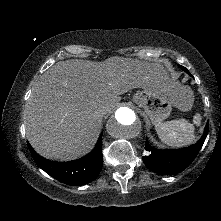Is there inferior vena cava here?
Returning a JSON list of instances; mask_svg holds the SVG:
<instances>
[{
	"instance_id": "obj_1",
	"label": "inferior vena cava",
	"mask_w": 221,
	"mask_h": 221,
	"mask_svg": "<svg viewBox=\"0 0 221 221\" xmlns=\"http://www.w3.org/2000/svg\"><path fill=\"white\" fill-rule=\"evenodd\" d=\"M106 112H107L106 107H103V108L99 109L97 113L99 116L102 117L104 114H106Z\"/></svg>"
}]
</instances>
